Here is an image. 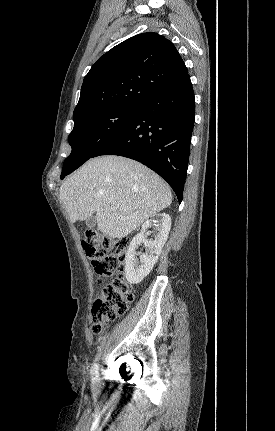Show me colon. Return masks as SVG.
<instances>
[{"instance_id": "obj_1", "label": "colon", "mask_w": 275, "mask_h": 431, "mask_svg": "<svg viewBox=\"0 0 275 431\" xmlns=\"http://www.w3.org/2000/svg\"><path fill=\"white\" fill-rule=\"evenodd\" d=\"M128 244L127 239H113L97 232L89 233L82 242L99 280L118 274L102 289L92 305V331L95 334L105 324L122 316L134 300L131 287L122 274Z\"/></svg>"}]
</instances>
